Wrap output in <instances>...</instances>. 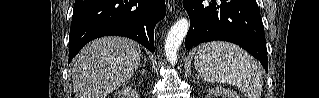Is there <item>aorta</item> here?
I'll return each mask as SVG.
<instances>
[{
	"label": "aorta",
	"mask_w": 319,
	"mask_h": 98,
	"mask_svg": "<svg viewBox=\"0 0 319 98\" xmlns=\"http://www.w3.org/2000/svg\"><path fill=\"white\" fill-rule=\"evenodd\" d=\"M189 29V20L181 18L171 27L165 41V56L168 62L175 65L177 52Z\"/></svg>",
	"instance_id": "aorta-1"
}]
</instances>
